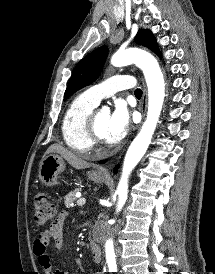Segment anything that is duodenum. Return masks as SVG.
<instances>
[{"mask_svg": "<svg viewBox=\"0 0 215 274\" xmlns=\"http://www.w3.org/2000/svg\"><path fill=\"white\" fill-rule=\"evenodd\" d=\"M91 256L95 263L99 264L102 261V250L98 243H96L94 240L90 241L89 244Z\"/></svg>", "mask_w": 215, "mask_h": 274, "instance_id": "1", "label": "duodenum"}]
</instances>
